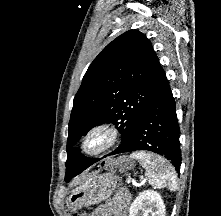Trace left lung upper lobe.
<instances>
[{
  "label": "left lung upper lobe",
  "instance_id": "5c2ea615",
  "mask_svg": "<svg viewBox=\"0 0 221 216\" xmlns=\"http://www.w3.org/2000/svg\"><path fill=\"white\" fill-rule=\"evenodd\" d=\"M159 68L151 42L137 30L118 36L94 59L73 101L65 181L83 171L85 157L74 145L94 126L113 123L122 135L119 148L131 140L150 104Z\"/></svg>",
  "mask_w": 221,
  "mask_h": 216
}]
</instances>
